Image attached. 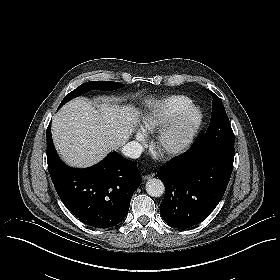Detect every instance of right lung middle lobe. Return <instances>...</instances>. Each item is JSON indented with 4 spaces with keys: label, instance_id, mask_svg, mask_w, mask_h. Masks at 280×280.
<instances>
[{
    "label": "right lung middle lobe",
    "instance_id": "obj_1",
    "mask_svg": "<svg viewBox=\"0 0 280 280\" xmlns=\"http://www.w3.org/2000/svg\"><path fill=\"white\" fill-rule=\"evenodd\" d=\"M123 84L118 82H111V81H104V82H98V81H90L86 82L82 85H80L75 90L71 91L69 94H67L64 99L62 100L61 104L59 105V108L63 106L66 102L71 100L72 98L80 96L82 93H85L90 90H114L117 88L122 87ZM58 108V109H59Z\"/></svg>",
    "mask_w": 280,
    "mask_h": 280
}]
</instances>
